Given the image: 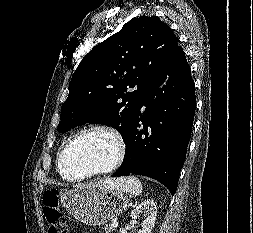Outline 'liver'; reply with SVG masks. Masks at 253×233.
Wrapping results in <instances>:
<instances>
[{"label":"liver","instance_id":"liver-1","mask_svg":"<svg viewBox=\"0 0 253 233\" xmlns=\"http://www.w3.org/2000/svg\"><path fill=\"white\" fill-rule=\"evenodd\" d=\"M96 183L104 184L105 186L109 187L111 180H105L104 182H96Z\"/></svg>","mask_w":253,"mask_h":233}]
</instances>
